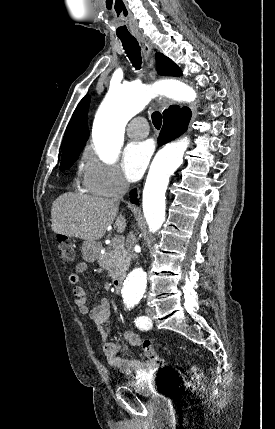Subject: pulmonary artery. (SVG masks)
Wrapping results in <instances>:
<instances>
[{
	"label": "pulmonary artery",
	"instance_id": "e3ab8cb5",
	"mask_svg": "<svg viewBox=\"0 0 275 429\" xmlns=\"http://www.w3.org/2000/svg\"><path fill=\"white\" fill-rule=\"evenodd\" d=\"M148 132V123L143 117L133 119L127 127V134L133 139L145 138L148 135Z\"/></svg>",
	"mask_w": 275,
	"mask_h": 429
}]
</instances>
